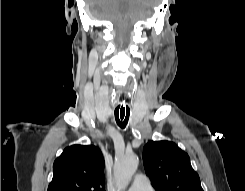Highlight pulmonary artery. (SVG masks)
<instances>
[{
  "mask_svg": "<svg viewBox=\"0 0 245 191\" xmlns=\"http://www.w3.org/2000/svg\"><path fill=\"white\" fill-rule=\"evenodd\" d=\"M128 191H154L148 178L145 175H137Z\"/></svg>",
  "mask_w": 245,
  "mask_h": 191,
  "instance_id": "e3ab8cb5",
  "label": "pulmonary artery"
}]
</instances>
